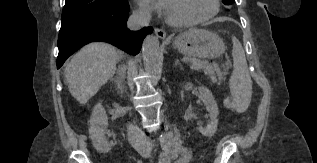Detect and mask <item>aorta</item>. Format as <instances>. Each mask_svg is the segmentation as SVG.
I'll return each mask as SVG.
<instances>
[{
	"mask_svg": "<svg viewBox=\"0 0 317 163\" xmlns=\"http://www.w3.org/2000/svg\"><path fill=\"white\" fill-rule=\"evenodd\" d=\"M142 56L145 68L157 80L161 70V52L159 40L154 35H147L143 41Z\"/></svg>",
	"mask_w": 317,
	"mask_h": 163,
	"instance_id": "aorta-1",
	"label": "aorta"
}]
</instances>
